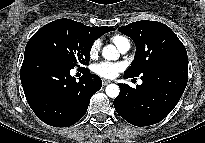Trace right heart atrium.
Here are the masks:
<instances>
[{"label": "right heart atrium", "mask_w": 205, "mask_h": 143, "mask_svg": "<svg viewBox=\"0 0 205 143\" xmlns=\"http://www.w3.org/2000/svg\"><path fill=\"white\" fill-rule=\"evenodd\" d=\"M100 46H101V43L99 40L93 41V43L91 44L90 49H89V54L91 57H94L98 54V52L100 50Z\"/></svg>", "instance_id": "obj_1"}]
</instances>
